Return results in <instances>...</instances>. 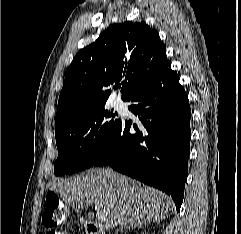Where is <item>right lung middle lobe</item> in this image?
<instances>
[{"label": "right lung middle lobe", "instance_id": "dd1d6c3e", "mask_svg": "<svg viewBox=\"0 0 241 234\" xmlns=\"http://www.w3.org/2000/svg\"><path fill=\"white\" fill-rule=\"evenodd\" d=\"M120 119L104 107L94 110L81 121L55 131L58 158L56 176L90 168L108 146Z\"/></svg>", "mask_w": 241, "mask_h": 234}]
</instances>
